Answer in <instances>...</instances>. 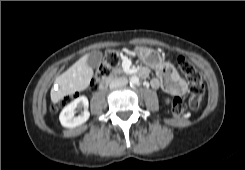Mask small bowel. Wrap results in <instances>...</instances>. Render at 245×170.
<instances>
[{
  "label": "small bowel",
  "mask_w": 245,
  "mask_h": 170,
  "mask_svg": "<svg viewBox=\"0 0 245 170\" xmlns=\"http://www.w3.org/2000/svg\"><path fill=\"white\" fill-rule=\"evenodd\" d=\"M156 74L157 76L150 81L155 89L162 87L168 93L174 94L177 88L183 85L177 70L170 64H160L156 69Z\"/></svg>",
  "instance_id": "c3829d8e"
}]
</instances>
